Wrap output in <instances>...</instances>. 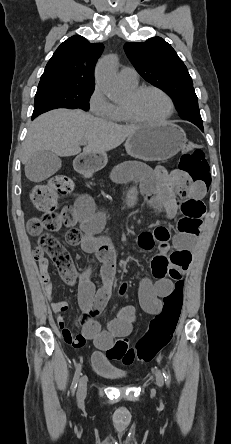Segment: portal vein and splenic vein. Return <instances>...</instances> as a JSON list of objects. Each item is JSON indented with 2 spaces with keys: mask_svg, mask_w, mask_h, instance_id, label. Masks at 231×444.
Listing matches in <instances>:
<instances>
[{
  "mask_svg": "<svg viewBox=\"0 0 231 444\" xmlns=\"http://www.w3.org/2000/svg\"><path fill=\"white\" fill-rule=\"evenodd\" d=\"M81 144L86 145L87 141L83 140V141H81Z\"/></svg>",
  "mask_w": 231,
  "mask_h": 444,
  "instance_id": "obj_1",
  "label": "portal vein and splenic vein"
}]
</instances>
